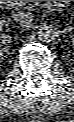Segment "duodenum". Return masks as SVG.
Segmentation results:
<instances>
[{"label": "duodenum", "instance_id": "410a0bca", "mask_svg": "<svg viewBox=\"0 0 74 122\" xmlns=\"http://www.w3.org/2000/svg\"><path fill=\"white\" fill-rule=\"evenodd\" d=\"M12 1H2V4L4 5H10Z\"/></svg>", "mask_w": 74, "mask_h": 122}]
</instances>
